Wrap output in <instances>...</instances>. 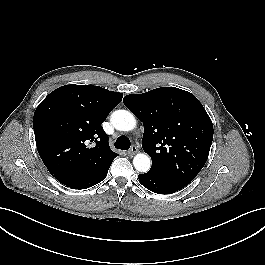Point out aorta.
<instances>
[{
	"label": "aorta",
	"mask_w": 265,
	"mask_h": 265,
	"mask_svg": "<svg viewBox=\"0 0 265 265\" xmlns=\"http://www.w3.org/2000/svg\"><path fill=\"white\" fill-rule=\"evenodd\" d=\"M112 125L120 131H131L136 126V119L132 113L126 110L114 111L110 119ZM135 169L141 173H146L151 167L148 155L139 153L133 159Z\"/></svg>",
	"instance_id": "762f6f07"
}]
</instances>
